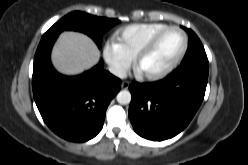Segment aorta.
<instances>
[{"instance_id": "1", "label": "aorta", "mask_w": 248, "mask_h": 165, "mask_svg": "<svg viewBox=\"0 0 248 165\" xmlns=\"http://www.w3.org/2000/svg\"><path fill=\"white\" fill-rule=\"evenodd\" d=\"M116 98L119 104L126 105L131 101V93L128 90H122L117 94Z\"/></svg>"}]
</instances>
